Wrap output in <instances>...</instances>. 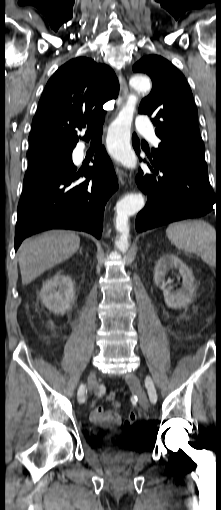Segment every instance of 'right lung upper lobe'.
<instances>
[{
  "label": "right lung upper lobe",
  "mask_w": 221,
  "mask_h": 510,
  "mask_svg": "<svg viewBox=\"0 0 221 510\" xmlns=\"http://www.w3.org/2000/svg\"><path fill=\"white\" fill-rule=\"evenodd\" d=\"M119 83L113 70L86 57L61 66L47 82L33 118L29 151L55 147L72 148L78 142L76 129L87 126L83 140L101 126L103 104L116 98Z\"/></svg>",
  "instance_id": "right-lung-upper-lobe-1"
}]
</instances>
